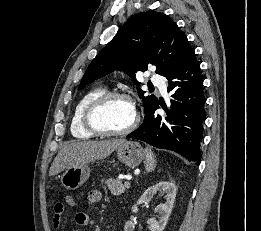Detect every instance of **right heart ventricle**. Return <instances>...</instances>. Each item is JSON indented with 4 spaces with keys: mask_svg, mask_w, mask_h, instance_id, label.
<instances>
[{
    "mask_svg": "<svg viewBox=\"0 0 261 231\" xmlns=\"http://www.w3.org/2000/svg\"><path fill=\"white\" fill-rule=\"evenodd\" d=\"M105 92L106 91L103 88H95L86 93L75 106L70 123V130L75 138L88 139L94 136V134L85 129L83 124V114L86 107Z\"/></svg>",
    "mask_w": 261,
    "mask_h": 231,
    "instance_id": "1",
    "label": "right heart ventricle"
}]
</instances>
